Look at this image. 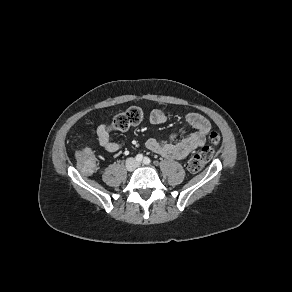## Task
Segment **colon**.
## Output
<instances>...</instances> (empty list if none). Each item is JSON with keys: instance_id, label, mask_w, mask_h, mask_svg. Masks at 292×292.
<instances>
[{"instance_id": "1", "label": "colon", "mask_w": 292, "mask_h": 292, "mask_svg": "<svg viewBox=\"0 0 292 292\" xmlns=\"http://www.w3.org/2000/svg\"><path fill=\"white\" fill-rule=\"evenodd\" d=\"M145 116V110L139 106H131L126 110L116 114L111 123L110 128L117 131H125L132 126L138 125ZM220 142V135L216 131H212L209 135V144L196 152L188 161L187 167L190 172H198L202 170L212 159L215 147ZM77 163L79 169L90 174L95 170L96 162L92 149L86 146L78 151Z\"/></svg>"}]
</instances>
